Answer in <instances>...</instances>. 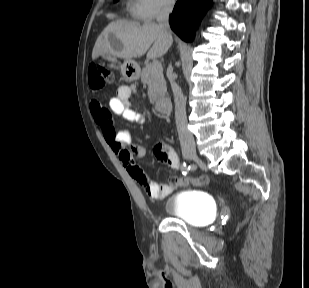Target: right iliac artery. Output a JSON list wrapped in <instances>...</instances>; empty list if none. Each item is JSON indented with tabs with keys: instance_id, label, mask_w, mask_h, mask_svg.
<instances>
[{
	"instance_id": "right-iliac-artery-1",
	"label": "right iliac artery",
	"mask_w": 309,
	"mask_h": 288,
	"mask_svg": "<svg viewBox=\"0 0 309 288\" xmlns=\"http://www.w3.org/2000/svg\"><path fill=\"white\" fill-rule=\"evenodd\" d=\"M179 169L180 170H185L186 169L187 170L186 172H188L189 170H197L195 165H187L185 162L179 166Z\"/></svg>"
}]
</instances>
